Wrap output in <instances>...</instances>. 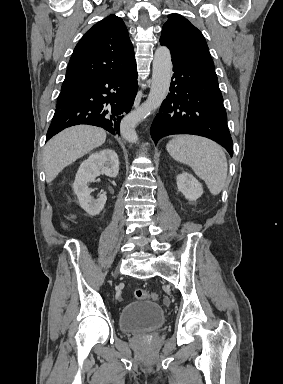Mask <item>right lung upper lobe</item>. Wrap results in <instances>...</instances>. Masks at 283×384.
<instances>
[{"label": "right lung upper lobe", "instance_id": "right-lung-upper-lobe-1", "mask_svg": "<svg viewBox=\"0 0 283 384\" xmlns=\"http://www.w3.org/2000/svg\"><path fill=\"white\" fill-rule=\"evenodd\" d=\"M135 66L128 30L121 18L110 15L88 30L76 45L61 92H71L88 81Z\"/></svg>", "mask_w": 283, "mask_h": 384}]
</instances>
